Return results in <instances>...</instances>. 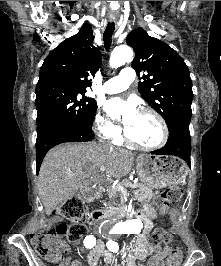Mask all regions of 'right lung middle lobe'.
I'll use <instances>...</instances> for the list:
<instances>
[{"instance_id": "dd1d6c3e", "label": "right lung middle lobe", "mask_w": 221, "mask_h": 266, "mask_svg": "<svg viewBox=\"0 0 221 266\" xmlns=\"http://www.w3.org/2000/svg\"><path fill=\"white\" fill-rule=\"evenodd\" d=\"M85 93L61 87L36 89L37 138L65 124L92 129L97 105Z\"/></svg>"}]
</instances>
